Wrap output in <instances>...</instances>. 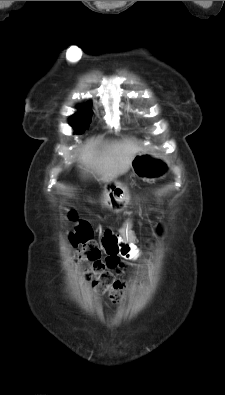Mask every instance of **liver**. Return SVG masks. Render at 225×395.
I'll return each mask as SVG.
<instances>
[{"label": "liver", "instance_id": "6515ba94", "mask_svg": "<svg viewBox=\"0 0 225 395\" xmlns=\"http://www.w3.org/2000/svg\"><path fill=\"white\" fill-rule=\"evenodd\" d=\"M142 150L131 141L92 142L87 145L79 158L84 170L97 175L108 183L123 175L131 168L134 157Z\"/></svg>", "mask_w": 225, "mask_h": 395}]
</instances>
